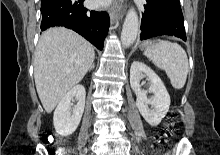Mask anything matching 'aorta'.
I'll return each mask as SVG.
<instances>
[{"label":"aorta","mask_w":220,"mask_h":155,"mask_svg":"<svg viewBox=\"0 0 220 155\" xmlns=\"http://www.w3.org/2000/svg\"><path fill=\"white\" fill-rule=\"evenodd\" d=\"M139 28L138 15L134 8H131L124 20L122 32H121V43L123 47H129L134 43L137 37Z\"/></svg>","instance_id":"obj_1"}]
</instances>
